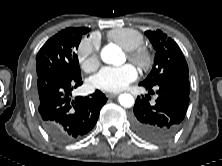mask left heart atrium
Returning <instances> with one entry per match:
<instances>
[{"instance_id": "obj_1", "label": "left heart atrium", "mask_w": 222, "mask_h": 166, "mask_svg": "<svg viewBox=\"0 0 222 166\" xmlns=\"http://www.w3.org/2000/svg\"><path fill=\"white\" fill-rule=\"evenodd\" d=\"M138 77V72L132 64L122 66H106L92 78V84L106 92H119L124 90Z\"/></svg>"}]
</instances>
